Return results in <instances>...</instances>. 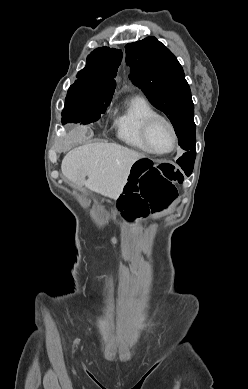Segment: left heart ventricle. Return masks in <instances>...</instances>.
<instances>
[{"instance_id":"1","label":"left heart ventricle","mask_w":248,"mask_h":389,"mask_svg":"<svg viewBox=\"0 0 248 389\" xmlns=\"http://www.w3.org/2000/svg\"><path fill=\"white\" fill-rule=\"evenodd\" d=\"M149 142L156 151H167L171 147L169 128L163 122H156L150 130Z\"/></svg>"}]
</instances>
